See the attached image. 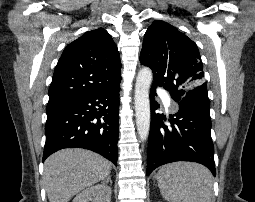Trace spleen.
I'll use <instances>...</instances> for the list:
<instances>
[{"label":"spleen","instance_id":"1","mask_svg":"<svg viewBox=\"0 0 255 202\" xmlns=\"http://www.w3.org/2000/svg\"><path fill=\"white\" fill-rule=\"evenodd\" d=\"M161 195L168 202H211L213 177L196 163L178 162L161 167L157 173Z\"/></svg>","mask_w":255,"mask_h":202}]
</instances>
